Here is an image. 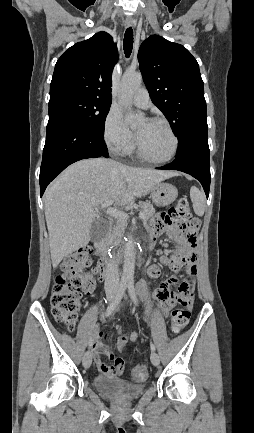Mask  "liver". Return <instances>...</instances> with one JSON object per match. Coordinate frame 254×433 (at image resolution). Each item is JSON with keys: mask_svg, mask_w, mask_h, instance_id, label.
Listing matches in <instances>:
<instances>
[{"mask_svg": "<svg viewBox=\"0 0 254 433\" xmlns=\"http://www.w3.org/2000/svg\"><path fill=\"white\" fill-rule=\"evenodd\" d=\"M175 175L172 171L131 167L105 158L70 165L44 196L53 267L89 243L90 227L100 205L113 201L116 206H125Z\"/></svg>", "mask_w": 254, "mask_h": 433, "instance_id": "obj_1", "label": "liver"}]
</instances>
